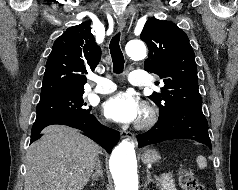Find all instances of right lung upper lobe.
Listing matches in <instances>:
<instances>
[{
    "label": "right lung upper lobe",
    "instance_id": "1",
    "mask_svg": "<svg viewBox=\"0 0 238 190\" xmlns=\"http://www.w3.org/2000/svg\"><path fill=\"white\" fill-rule=\"evenodd\" d=\"M101 49L90 22L68 28L55 42L46 63L41 97L84 92L89 71L100 61Z\"/></svg>",
    "mask_w": 238,
    "mask_h": 190
}]
</instances>
